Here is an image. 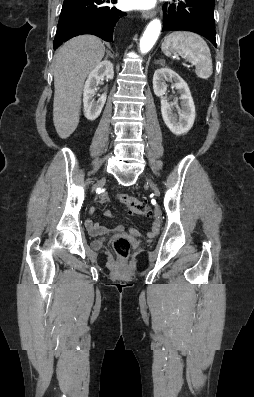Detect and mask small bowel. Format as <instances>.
<instances>
[{
    "label": "small bowel",
    "instance_id": "small-bowel-1",
    "mask_svg": "<svg viewBox=\"0 0 254 397\" xmlns=\"http://www.w3.org/2000/svg\"><path fill=\"white\" fill-rule=\"evenodd\" d=\"M100 199H101L102 202H107L108 197H107V195L104 194V195H102L100 197ZM93 212H94V209H91L90 210V214H92ZM104 214L107 217H112L113 216V214L110 211H108V210L105 211ZM85 225H86L87 229L89 230L90 234H92V235H100V234L109 233V230L106 227L100 225L98 222H95L91 217H88L86 219ZM159 227H160L159 222H154L152 230L148 233V236L149 237H154L158 233ZM116 230L117 231H122L123 227L121 225H119L116 228Z\"/></svg>",
    "mask_w": 254,
    "mask_h": 397
}]
</instances>
